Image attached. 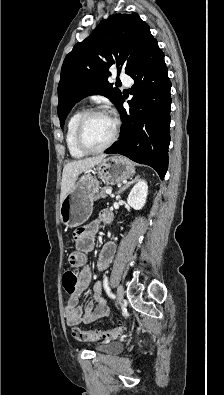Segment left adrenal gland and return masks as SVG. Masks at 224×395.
<instances>
[{
	"instance_id": "left-adrenal-gland-1",
	"label": "left adrenal gland",
	"mask_w": 224,
	"mask_h": 395,
	"mask_svg": "<svg viewBox=\"0 0 224 395\" xmlns=\"http://www.w3.org/2000/svg\"><path fill=\"white\" fill-rule=\"evenodd\" d=\"M140 178L139 175H137L132 181L128 182L126 185H124L119 191L118 194L122 193L124 190H126L132 183L136 182Z\"/></svg>"
}]
</instances>
